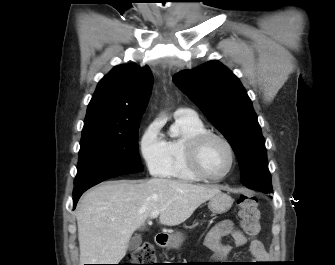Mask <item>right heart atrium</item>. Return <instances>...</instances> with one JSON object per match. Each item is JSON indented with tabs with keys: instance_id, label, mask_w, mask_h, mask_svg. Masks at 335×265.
I'll return each instance as SVG.
<instances>
[{
	"instance_id": "d8ad5b80",
	"label": "right heart atrium",
	"mask_w": 335,
	"mask_h": 265,
	"mask_svg": "<svg viewBox=\"0 0 335 265\" xmlns=\"http://www.w3.org/2000/svg\"><path fill=\"white\" fill-rule=\"evenodd\" d=\"M139 148L141 156L154 176H163L168 163L166 140L163 138L157 121L151 122L144 130Z\"/></svg>"
}]
</instances>
